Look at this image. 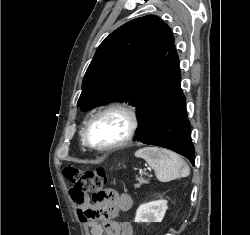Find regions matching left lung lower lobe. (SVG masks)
Segmentation results:
<instances>
[{"label": "left lung lower lobe", "mask_w": 250, "mask_h": 235, "mask_svg": "<svg viewBox=\"0 0 250 235\" xmlns=\"http://www.w3.org/2000/svg\"><path fill=\"white\" fill-rule=\"evenodd\" d=\"M180 81L179 59L173 46L137 104L141 125L136 140L173 150L194 165L195 150Z\"/></svg>", "instance_id": "1"}]
</instances>
